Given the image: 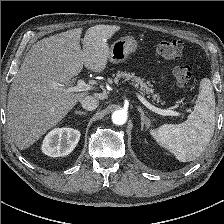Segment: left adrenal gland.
<instances>
[{
    "instance_id": "obj_1",
    "label": "left adrenal gland",
    "mask_w": 224,
    "mask_h": 224,
    "mask_svg": "<svg viewBox=\"0 0 224 224\" xmlns=\"http://www.w3.org/2000/svg\"><path fill=\"white\" fill-rule=\"evenodd\" d=\"M138 111L140 112V115H141V130H143L144 124H146L147 118H146L144 111L141 107H138Z\"/></svg>"
}]
</instances>
